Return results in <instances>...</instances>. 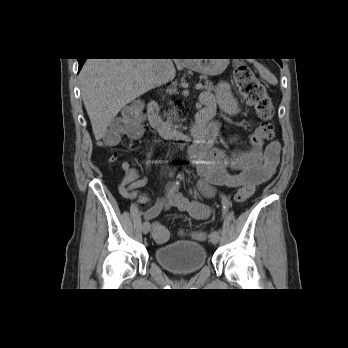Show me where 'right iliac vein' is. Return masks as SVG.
I'll return each instance as SVG.
<instances>
[{
	"mask_svg": "<svg viewBox=\"0 0 348 348\" xmlns=\"http://www.w3.org/2000/svg\"><path fill=\"white\" fill-rule=\"evenodd\" d=\"M150 230V223L149 222H144L142 226V231L144 234H148Z\"/></svg>",
	"mask_w": 348,
	"mask_h": 348,
	"instance_id": "1",
	"label": "right iliac vein"
}]
</instances>
